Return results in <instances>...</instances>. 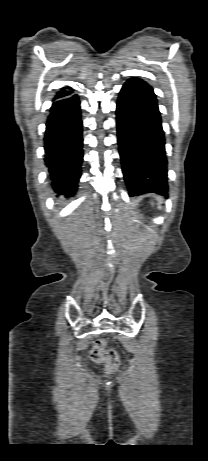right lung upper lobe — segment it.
Here are the masks:
<instances>
[{
	"label": "right lung upper lobe",
	"mask_w": 208,
	"mask_h": 461,
	"mask_svg": "<svg viewBox=\"0 0 208 461\" xmlns=\"http://www.w3.org/2000/svg\"><path fill=\"white\" fill-rule=\"evenodd\" d=\"M64 89H71L70 87H65V88H62L61 91H59L57 93V95L54 97V100H57V99H60V98H64V97H67V96H70L72 94V91L70 90H64Z\"/></svg>",
	"instance_id": "1"
}]
</instances>
